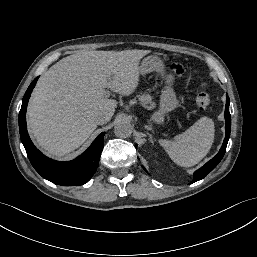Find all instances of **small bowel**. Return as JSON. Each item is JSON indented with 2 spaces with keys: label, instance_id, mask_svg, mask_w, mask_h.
I'll return each instance as SVG.
<instances>
[{
  "label": "small bowel",
  "instance_id": "small-bowel-1",
  "mask_svg": "<svg viewBox=\"0 0 257 257\" xmlns=\"http://www.w3.org/2000/svg\"><path fill=\"white\" fill-rule=\"evenodd\" d=\"M172 72H173V74H174L175 76L181 77V76H183V75L185 74L186 69H185V67H184L183 65L177 64V65H175V66L173 67Z\"/></svg>",
  "mask_w": 257,
  "mask_h": 257
}]
</instances>
